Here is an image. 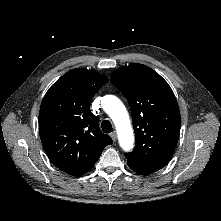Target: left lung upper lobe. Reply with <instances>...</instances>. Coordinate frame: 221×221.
<instances>
[{
  "instance_id": "obj_1",
  "label": "left lung upper lobe",
  "mask_w": 221,
  "mask_h": 221,
  "mask_svg": "<svg viewBox=\"0 0 221 221\" xmlns=\"http://www.w3.org/2000/svg\"><path fill=\"white\" fill-rule=\"evenodd\" d=\"M111 82L126 97L136 146L125 157L147 169L163 168L176 148L180 111L168 83L146 65L134 63L114 71Z\"/></svg>"
}]
</instances>
